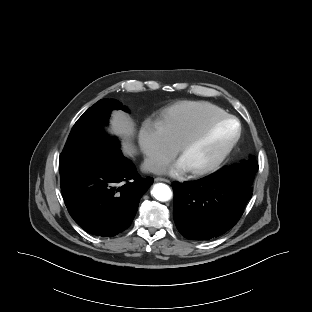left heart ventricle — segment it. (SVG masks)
<instances>
[{"label": "left heart ventricle", "instance_id": "obj_1", "mask_svg": "<svg viewBox=\"0 0 312 312\" xmlns=\"http://www.w3.org/2000/svg\"><path fill=\"white\" fill-rule=\"evenodd\" d=\"M236 132V124L232 121L215 126L204 138L190 146L182 158L189 168L203 165L218 154Z\"/></svg>", "mask_w": 312, "mask_h": 312}]
</instances>
